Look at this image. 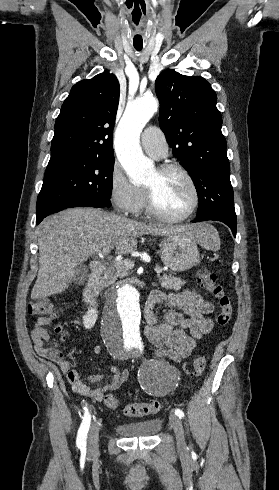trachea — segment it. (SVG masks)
Masks as SVG:
<instances>
[{
    "label": "trachea",
    "instance_id": "3493384b",
    "mask_svg": "<svg viewBox=\"0 0 279 490\" xmlns=\"http://www.w3.org/2000/svg\"><path fill=\"white\" fill-rule=\"evenodd\" d=\"M135 48H136V50H138V51H140V50L142 49V47H137V46H136Z\"/></svg>",
    "mask_w": 279,
    "mask_h": 490
}]
</instances>
